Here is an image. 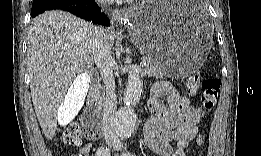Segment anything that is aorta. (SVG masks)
<instances>
[{
  "label": "aorta",
  "instance_id": "aorta-1",
  "mask_svg": "<svg viewBox=\"0 0 261 156\" xmlns=\"http://www.w3.org/2000/svg\"><path fill=\"white\" fill-rule=\"evenodd\" d=\"M142 89L143 83L139 74L130 70L123 97L124 106L117 111L114 117L115 130L123 138H129L136 130L137 116L134 107L140 101Z\"/></svg>",
  "mask_w": 261,
  "mask_h": 156
}]
</instances>
